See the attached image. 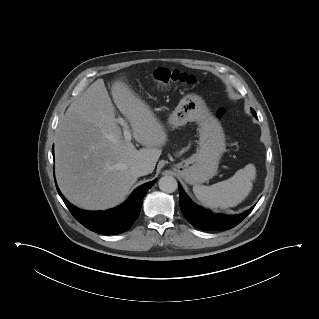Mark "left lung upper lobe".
Masks as SVG:
<instances>
[{
  "label": "left lung upper lobe",
  "mask_w": 319,
  "mask_h": 319,
  "mask_svg": "<svg viewBox=\"0 0 319 319\" xmlns=\"http://www.w3.org/2000/svg\"><path fill=\"white\" fill-rule=\"evenodd\" d=\"M251 110H252L253 114L256 115V112L253 109H251Z\"/></svg>",
  "instance_id": "1"
}]
</instances>
